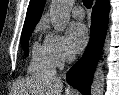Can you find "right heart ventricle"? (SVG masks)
<instances>
[{"mask_svg": "<svg viewBox=\"0 0 119 95\" xmlns=\"http://www.w3.org/2000/svg\"><path fill=\"white\" fill-rule=\"evenodd\" d=\"M54 70L55 66L45 42L34 43L28 64V72L37 76H52Z\"/></svg>", "mask_w": 119, "mask_h": 95, "instance_id": "obj_1", "label": "right heart ventricle"}]
</instances>
